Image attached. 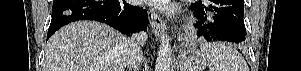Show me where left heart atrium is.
<instances>
[{
	"label": "left heart atrium",
	"mask_w": 301,
	"mask_h": 71,
	"mask_svg": "<svg viewBox=\"0 0 301 71\" xmlns=\"http://www.w3.org/2000/svg\"><path fill=\"white\" fill-rule=\"evenodd\" d=\"M152 3L158 5L161 8H167V1L165 0H158V1H151Z\"/></svg>",
	"instance_id": "obj_1"
}]
</instances>
